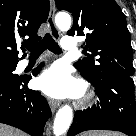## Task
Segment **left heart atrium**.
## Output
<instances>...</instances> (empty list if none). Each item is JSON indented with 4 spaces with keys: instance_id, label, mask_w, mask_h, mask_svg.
<instances>
[{
    "instance_id": "39dd6f15",
    "label": "left heart atrium",
    "mask_w": 136,
    "mask_h": 136,
    "mask_svg": "<svg viewBox=\"0 0 136 136\" xmlns=\"http://www.w3.org/2000/svg\"><path fill=\"white\" fill-rule=\"evenodd\" d=\"M38 87L52 97L77 96L82 92V85L72 79L66 67L54 65L46 70L37 80Z\"/></svg>"
}]
</instances>
